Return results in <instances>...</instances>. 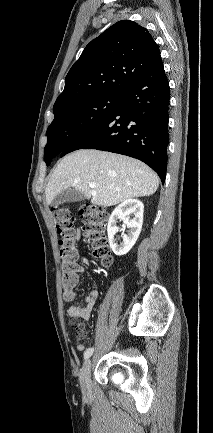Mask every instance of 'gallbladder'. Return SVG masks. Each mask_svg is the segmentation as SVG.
<instances>
[{"label": "gallbladder", "mask_w": 213, "mask_h": 433, "mask_svg": "<svg viewBox=\"0 0 213 433\" xmlns=\"http://www.w3.org/2000/svg\"><path fill=\"white\" fill-rule=\"evenodd\" d=\"M84 199V194L75 189H65L58 193L52 202L53 207H58L63 203L78 202Z\"/></svg>", "instance_id": "1"}]
</instances>
